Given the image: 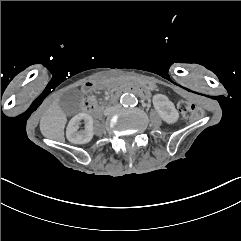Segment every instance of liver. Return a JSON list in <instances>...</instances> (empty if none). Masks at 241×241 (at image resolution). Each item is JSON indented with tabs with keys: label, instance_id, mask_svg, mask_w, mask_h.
<instances>
[{
	"label": "liver",
	"instance_id": "6515ba94",
	"mask_svg": "<svg viewBox=\"0 0 241 241\" xmlns=\"http://www.w3.org/2000/svg\"><path fill=\"white\" fill-rule=\"evenodd\" d=\"M66 123L67 115L58 103H54L43 114L40 121V131L47 139L65 142L64 129Z\"/></svg>",
	"mask_w": 241,
	"mask_h": 241
}]
</instances>
